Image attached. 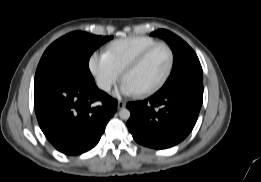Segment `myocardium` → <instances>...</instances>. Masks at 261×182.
Masks as SVG:
<instances>
[{"label":"myocardium","instance_id":"myocardium-1","mask_svg":"<svg viewBox=\"0 0 261 182\" xmlns=\"http://www.w3.org/2000/svg\"><path fill=\"white\" fill-rule=\"evenodd\" d=\"M163 47L168 51L169 54V64L167 67V70L165 72V74L163 75V77L153 86L142 90L140 92H137L136 94L138 96H145V95H149L152 94L154 92H156L157 90H159L169 79L173 68H174V63H175V55L174 52L172 50V48L163 42H158L156 44H154L153 46L147 48L146 50H144L142 53H140L131 63H129L125 69L122 71V79L125 80V77L132 71H134L135 69H137L144 61L145 59L156 49Z\"/></svg>","mask_w":261,"mask_h":182}]
</instances>
